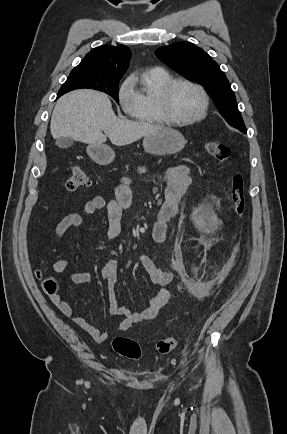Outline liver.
<instances>
[{"label": "liver", "instance_id": "liver-1", "mask_svg": "<svg viewBox=\"0 0 287 434\" xmlns=\"http://www.w3.org/2000/svg\"><path fill=\"white\" fill-rule=\"evenodd\" d=\"M162 128L117 118L109 97L90 89L72 91L61 97L50 123L53 138L68 136L89 145H102L108 137L112 144L124 146Z\"/></svg>", "mask_w": 287, "mask_h": 434}]
</instances>
